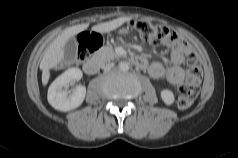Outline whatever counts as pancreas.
<instances>
[{
  "label": "pancreas",
  "mask_w": 238,
  "mask_h": 158,
  "mask_svg": "<svg viewBox=\"0 0 238 158\" xmlns=\"http://www.w3.org/2000/svg\"><path fill=\"white\" fill-rule=\"evenodd\" d=\"M117 57L118 55L114 52L111 46H103L94 54V58L102 62H105Z\"/></svg>",
  "instance_id": "1"
}]
</instances>
